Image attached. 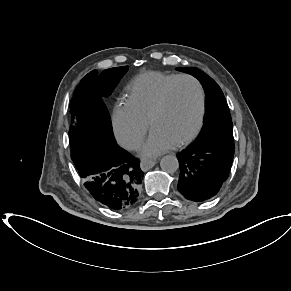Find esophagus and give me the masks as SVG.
Here are the masks:
<instances>
[{"label":"esophagus","instance_id":"esophagus-1","mask_svg":"<svg viewBox=\"0 0 291 291\" xmlns=\"http://www.w3.org/2000/svg\"><path fill=\"white\" fill-rule=\"evenodd\" d=\"M157 164V160H142L140 167L142 170L147 171Z\"/></svg>","mask_w":291,"mask_h":291}]
</instances>
